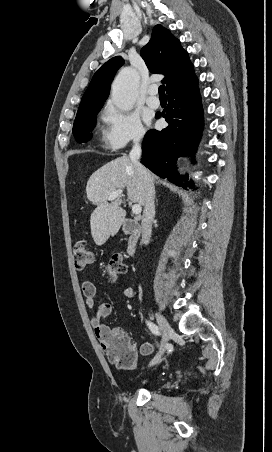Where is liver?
<instances>
[{"label": "liver", "instance_id": "6515ba94", "mask_svg": "<svg viewBox=\"0 0 272 452\" xmlns=\"http://www.w3.org/2000/svg\"><path fill=\"white\" fill-rule=\"evenodd\" d=\"M151 178L154 182V176L151 175ZM125 188L131 202L143 205L142 181L128 156H121L104 164L87 182V198L97 206L90 218L91 234L99 246L111 235H115L125 221L126 211L121 208L123 200L118 197L107 202L112 192L123 191Z\"/></svg>", "mask_w": 272, "mask_h": 452}]
</instances>
